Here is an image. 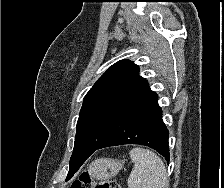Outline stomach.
Returning <instances> with one entry per match:
<instances>
[{
  "label": "stomach",
  "instance_id": "0dacf381",
  "mask_svg": "<svg viewBox=\"0 0 224 188\" xmlns=\"http://www.w3.org/2000/svg\"><path fill=\"white\" fill-rule=\"evenodd\" d=\"M123 167V163L118 159L98 158L88 166V173L91 177L102 180L114 177Z\"/></svg>",
  "mask_w": 224,
  "mask_h": 188
}]
</instances>
